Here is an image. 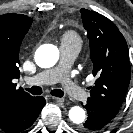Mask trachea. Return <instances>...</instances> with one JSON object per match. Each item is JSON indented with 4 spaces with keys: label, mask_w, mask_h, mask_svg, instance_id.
Segmentation results:
<instances>
[{
    "label": "trachea",
    "mask_w": 133,
    "mask_h": 133,
    "mask_svg": "<svg viewBox=\"0 0 133 133\" xmlns=\"http://www.w3.org/2000/svg\"><path fill=\"white\" fill-rule=\"evenodd\" d=\"M26 91L30 92L33 95H40L42 94V88L39 86H32L31 88H26ZM51 95L56 96V97H63L64 92L60 89H53L51 90Z\"/></svg>",
    "instance_id": "trachea-1"
}]
</instances>
